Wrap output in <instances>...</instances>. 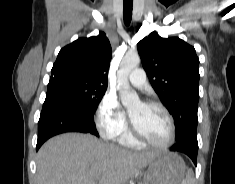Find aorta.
<instances>
[{
  "label": "aorta",
  "mask_w": 235,
  "mask_h": 184,
  "mask_svg": "<svg viewBox=\"0 0 235 184\" xmlns=\"http://www.w3.org/2000/svg\"><path fill=\"white\" fill-rule=\"evenodd\" d=\"M140 64L138 54H127L124 56L120 70L117 72V90H119L121 102L125 108H129L132 104H140V100L136 92H132L128 80L131 70L137 68Z\"/></svg>",
  "instance_id": "aorta-1"
}]
</instances>
